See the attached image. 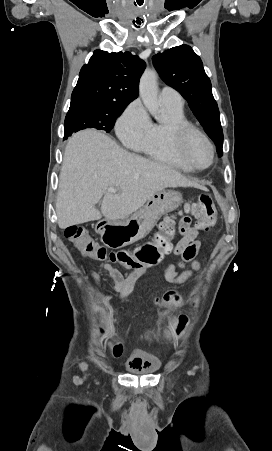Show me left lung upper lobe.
Segmentation results:
<instances>
[{
	"mask_svg": "<svg viewBox=\"0 0 272 451\" xmlns=\"http://www.w3.org/2000/svg\"><path fill=\"white\" fill-rule=\"evenodd\" d=\"M153 64L167 85L188 101L194 115L223 155V132L211 82L200 57L188 45L173 47L153 56Z\"/></svg>",
	"mask_w": 272,
	"mask_h": 451,
	"instance_id": "left-lung-upper-lobe-1",
	"label": "left lung upper lobe"
}]
</instances>
